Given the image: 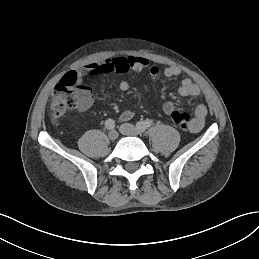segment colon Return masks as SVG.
Wrapping results in <instances>:
<instances>
[{"instance_id":"colon-1","label":"colon","mask_w":259,"mask_h":259,"mask_svg":"<svg viewBox=\"0 0 259 259\" xmlns=\"http://www.w3.org/2000/svg\"><path fill=\"white\" fill-rule=\"evenodd\" d=\"M91 101L90 88L78 82L74 71L67 73L55 87L52 95L49 110L52 122L58 124L68 112L76 108L85 109L90 106ZM170 115L177 127H189L191 119L186 112L173 110Z\"/></svg>"}]
</instances>
